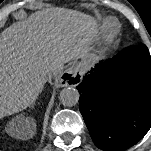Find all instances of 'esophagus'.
<instances>
[{
	"label": "esophagus",
	"mask_w": 151,
	"mask_h": 151,
	"mask_svg": "<svg viewBox=\"0 0 151 151\" xmlns=\"http://www.w3.org/2000/svg\"><path fill=\"white\" fill-rule=\"evenodd\" d=\"M82 81V72L79 66H71L62 72L55 80L56 87L77 86Z\"/></svg>",
	"instance_id": "1"
}]
</instances>
